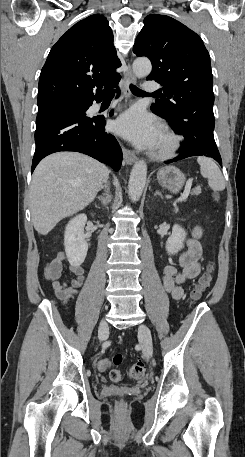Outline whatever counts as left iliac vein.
Listing matches in <instances>:
<instances>
[{
	"label": "left iliac vein",
	"mask_w": 245,
	"mask_h": 457,
	"mask_svg": "<svg viewBox=\"0 0 245 457\" xmlns=\"http://www.w3.org/2000/svg\"><path fill=\"white\" fill-rule=\"evenodd\" d=\"M140 338L139 342L143 347L144 356L149 359L152 355V339L149 328L145 324H141L139 327Z\"/></svg>",
	"instance_id": "left-iliac-vein-1"
}]
</instances>
